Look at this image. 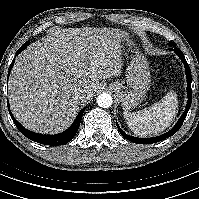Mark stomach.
I'll return each mask as SVG.
<instances>
[{"instance_id":"stomach-1","label":"stomach","mask_w":199,"mask_h":199,"mask_svg":"<svg viewBox=\"0 0 199 199\" xmlns=\"http://www.w3.org/2000/svg\"><path fill=\"white\" fill-rule=\"evenodd\" d=\"M132 44L131 37L126 35L123 47L131 48ZM133 53L125 79L109 84V88L116 94L124 110H130L140 104L151 85L147 59L138 49H134Z\"/></svg>"}]
</instances>
